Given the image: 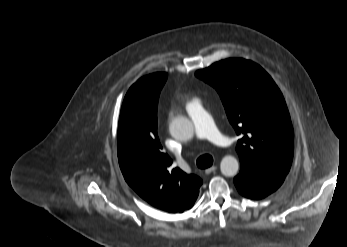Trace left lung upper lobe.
<instances>
[{
  "label": "left lung upper lobe",
  "mask_w": 347,
  "mask_h": 247,
  "mask_svg": "<svg viewBox=\"0 0 347 247\" xmlns=\"http://www.w3.org/2000/svg\"><path fill=\"white\" fill-rule=\"evenodd\" d=\"M195 74L217 90L241 137L237 146L241 170L286 176L294 133L283 95L268 73L252 61L230 58Z\"/></svg>",
  "instance_id": "1"
}]
</instances>
